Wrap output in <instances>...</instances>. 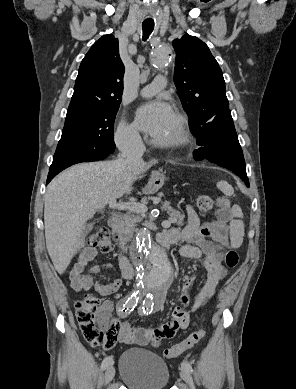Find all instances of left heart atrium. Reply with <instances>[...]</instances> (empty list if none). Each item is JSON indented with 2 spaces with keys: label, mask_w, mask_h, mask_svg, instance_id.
Instances as JSON below:
<instances>
[{
  "label": "left heart atrium",
  "mask_w": 296,
  "mask_h": 389,
  "mask_svg": "<svg viewBox=\"0 0 296 389\" xmlns=\"http://www.w3.org/2000/svg\"><path fill=\"white\" fill-rule=\"evenodd\" d=\"M174 117L171 106L161 100L140 106L135 114L137 126L151 136H159Z\"/></svg>",
  "instance_id": "obj_1"
}]
</instances>
